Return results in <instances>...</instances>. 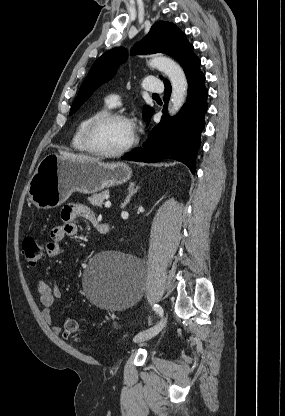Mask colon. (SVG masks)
Instances as JSON below:
<instances>
[{
    "instance_id": "obj_1",
    "label": "colon",
    "mask_w": 285,
    "mask_h": 416,
    "mask_svg": "<svg viewBox=\"0 0 285 416\" xmlns=\"http://www.w3.org/2000/svg\"><path fill=\"white\" fill-rule=\"evenodd\" d=\"M22 252L25 260L32 267H35L43 258L42 246L32 237H27L23 240ZM64 335L75 342L81 340V332L77 320L71 318L65 321Z\"/></svg>"
}]
</instances>
